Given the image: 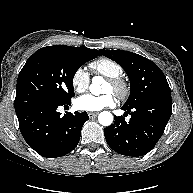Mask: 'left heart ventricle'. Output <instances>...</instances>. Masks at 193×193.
<instances>
[{"mask_svg": "<svg viewBox=\"0 0 193 193\" xmlns=\"http://www.w3.org/2000/svg\"><path fill=\"white\" fill-rule=\"evenodd\" d=\"M112 92V87L111 85L107 82L105 87H104V93H110Z\"/></svg>", "mask_w": 193, "mask_h": 193, "instance_id": "left-heart-ventricle-1", "label": "left heart ventricle"}]
</instances>
